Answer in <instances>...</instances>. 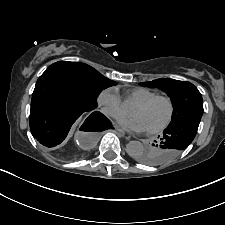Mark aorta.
<instances>
[{"mask_svg":"<svg viewBox=\"0 0 225 225\" xmlns=\"http://www.w3.org/2000/svg\"><path fill=\"white\" fill-rule=\"evenodd\" d=\"M128 155L132 158H136L144 151V145L140 141H130L126 146Z\"/></svg>","mask_w":225,"mask_h":225,"instance_id":"1","label":"aorta"}]
</instances>
